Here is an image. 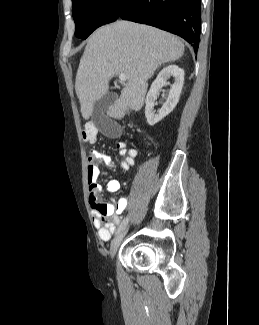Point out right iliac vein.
I'll return each mask as SVG.
<instances>
[{
	"label": "right iliac vein",
	"mask_w": 259,
	"mask_h": 325,
	"mask_svg": "<svg viewBox=\"0 0 259 325\" xmlns=\"http://www.w3.org/2000/svg\"><path fill=\"white\" fill-rule=\"evenodd\" d=\"M128 228H124L111 242L110 246V256L113 259L124 236L126 235Z\"/></svg>",
	"instance_id": "obj_1"
}]
</instances>
